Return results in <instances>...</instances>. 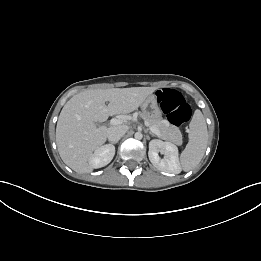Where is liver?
I'll return each instance as SVG.
<instances>
[{"mask_svg":"<svg viewBox=\"0 0 261 261\" xmlns=\"http://www.w3.org/2000/svg\"><path fill=\"white\" fill-rule=\"evenodd\" d=\"M156 89H94L74 95L61 110L56 126V144L63 162L78 173H90L89 158L106 142L108 130L95 122L137 110Z\"/></svg>","mask_w":261,"mask_h":261,"instance_id":"6515ba94","label":"liver"}]
</instances>
